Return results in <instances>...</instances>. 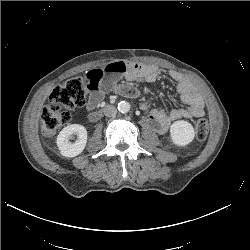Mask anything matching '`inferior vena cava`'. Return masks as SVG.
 <instances>
[{
    "label": "inferior vena cava",
    "instance_id": "obj_1",
    "mask_svg": "<svg viewBox=\"0 0 250 250\" xmlns=\"http://www.w3.org/2000/svg\"><path fill=\"white\" fill-rule=\"evenodd\" d=\"M103 112L105 116L113 117L117 114V109L112 105H107L104 107Z\"/></svg>",
    "mask_w": 250,
    "mask_h": 250
}]
</instances>
